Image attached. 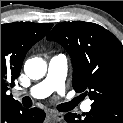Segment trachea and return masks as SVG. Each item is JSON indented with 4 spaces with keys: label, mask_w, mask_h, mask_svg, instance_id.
<instances>
[{
    "label": "trachea",
    "mask_w": 123,
    "mask_h": 123,
    "mask_svg": "<svg viewBox=\"0 0 123 123\" xmlns=\"http://www.w3.org/2000/svg\"><path fill=\"white\" fill-rule=\"evenodd\" d=\"M22 103L27 108L32 106V100L27 96L22 99ZM77 103H78L77 100H72L70 102L59 105L58 109L59 111L66 112V111L72 110L77 105Z\"/></svg>",
    "instance_id": "obj_1"
}]
</instances>
